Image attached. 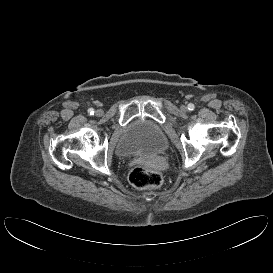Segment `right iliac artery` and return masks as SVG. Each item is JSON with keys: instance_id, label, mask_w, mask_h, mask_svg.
Listing matches in <instances>:
<instances>
[{"instance_id": "1", "label": "right iliac artery", "mask_w": 273, "mask_h": 273, "mask_svg": "<svg viewBox=\"0 0 273 273\" xmlns=\"http://www.w3.org/2000/svg\"><path fill=\"white\" fill-rule=\"evenodd\" d=\"M88 113H89L90 115H93V114H94V109H93V108H90V109L88 110Z\"/></svg>"}]
</instances>
